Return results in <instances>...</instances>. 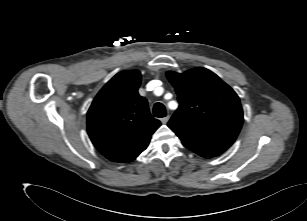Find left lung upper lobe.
<instances>
[{
    "label": "left lung upper lobe",
    "instance_id": "obj_1",
    "mask_svg": "<svg viewBox=\"0 0 307 221\" xmlns=\"http://www.w3.org/2000/svg\"><path fill=\"white\" fill-rule=\"evenodd\" d=\"M167 77L180 104L168 127L187 148L226 151L243 123V110L234 90L203 67L184 73L169 71Z\"/></svg>",
    "mask_w": 307,
    "mask_h": 221
}]
</instances>
